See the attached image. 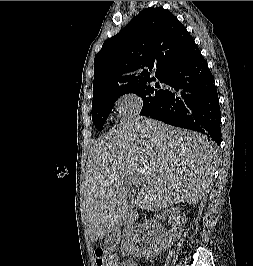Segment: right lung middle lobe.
Wrapping results in <instances>:
<instances>
[{"instance_id":"right-lung-middle-lobe-1","label":"right lung middle lobe","mask_w":253,"mask_h":266,"mask_svg":"<svg viewBox=\"0 0 253 266\" xmlns=\"http://www.w3.org/2000/svg\"><path fill=\"white\" fill-rule=\"evenodd\" d=\"M163 89L160 88L159 83L155 87L149 86L144 83L135 88L111 93L96 102L92 103V121L95 127L99 130L103 129V125L111 112V109L115 101L126 93H134L143 99V108L141 110V115H147L150 111L158 105L161 100Z\"/></svg>"}]
</instances>
